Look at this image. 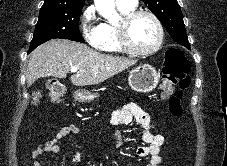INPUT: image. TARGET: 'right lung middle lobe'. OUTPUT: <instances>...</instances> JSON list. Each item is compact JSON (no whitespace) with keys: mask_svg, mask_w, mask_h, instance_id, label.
<instances>
[{"mask_svg":"<svg viewBox=\"0 0 227 166\" xmlns=\"http://www.w3.org/2000/svg\"><path fill=\"white\" fill-rule=\"evenodd\" d=\"M82 9H41L29 52L50 39H68L84 43L79 31Z\"/></svg>","mask_w":227,"mask_h":166,"instance_id":"right-lung-middle-lobe-1","label":"right lung middle lobe"}]
</instances>
